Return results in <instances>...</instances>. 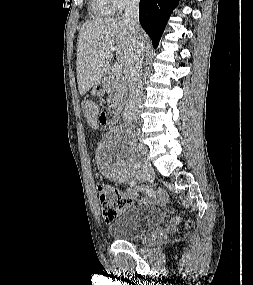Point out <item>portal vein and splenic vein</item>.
<instances>
[{
	"instance_id": "1",
	"label": "portal vein and splenic vein",
	"mask_w": 253,
	"mask_h": 285,
	"mask_svg": "<svg viewBox=\"0 0 253 285\" xmlns=\"http://www.w3.org/2000/svg\"><path fill=\"white\" fill-rule=\"evenodd\" d=\"M109 48H110L111 53H114L115 50H116L113 45H110ZM121 75H122V73H121V66L115 64V65L112 67L111 79L114 80V81H118V80H120Z\"/></svg>"
}]
</instances>
